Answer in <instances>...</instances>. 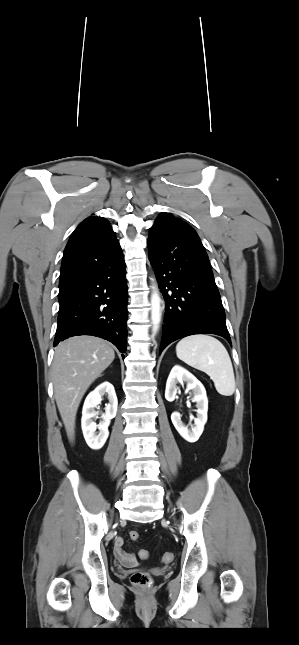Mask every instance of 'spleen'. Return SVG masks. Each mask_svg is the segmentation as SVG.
<instances>
[{
    "label": "spleen",
    "instance_id": "3e777b00",
    "mask_svg": "<svg viewBox=\"0 0 299 645\" xmlns=\"http://www.w3.org/2000/svg\"><path fill=\"white\" fill-rule=\"evenodd\" d=\"M176 355L189 366L205 372L219 394L233 395V366L226 348L219 340L203 334L187 336L176 345Z\"/></svg>",
    "mask_w": 299,
    "mask_h": 645
}]
</instances>
